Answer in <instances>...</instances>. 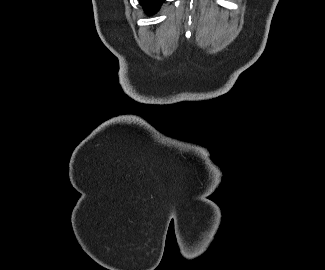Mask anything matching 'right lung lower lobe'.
Listing matches in <instances>:
<instances>
[{"mask_svg":"<svg viewBox=\"0 0 325 270\" xmlns=\"http://www.w3.org/2000/svg\"><path fill=\"white\" fill-rule=\"evenodd\" d=\"M147 14L155 13L164 0H139Z\"/></svg>","mask_w":325,"mask_h":270,"instance_id":"right-lung-lower-lobe-1","label":"right lung lower lobe"}]
</instances>
